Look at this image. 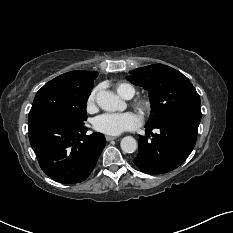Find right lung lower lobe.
Masks as SVG:
<instances>
[{
	"mask_svg": "<svg viewBox=\"0 0 233 233\" xmlns=\"http://www.w3.org/2000/svg\"><path fill=\"white\" fill-rule=\"evenodd\" d=\"M28 129L41 169L63 184L86 180L106 144L103 134L86 135L84 124L59 118H39L28 123Z\"/></svg>",
	"mask_w": 233,
	"mask_h": 233,
	"instance_id": "right-lung-lower-lobe-1",
	"label": "right lung lower lobe"
}]
</instances>
